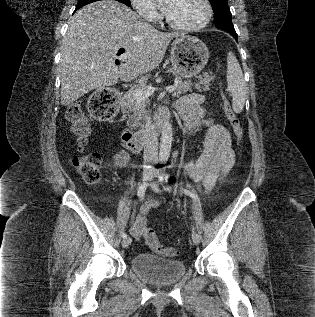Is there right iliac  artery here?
Returning <instances> with one entry per match:
<instances>
[{
	"mask_svg": "<svg viewBox=\"0 0 315 317\" xmlns=\"http://www.w3.org/2000/svg\"><path fill=\"white\" fill-rule=\"evenodd\" d=\"M146 187H147V185H146L145 183H143V184H141V185L139 186L137 195H138L140 201L144 199ZM122 237L125 239V238L127 237V234H126V233H123V234H122Z\"/></svg>",
	"mask_w": 315,
	"mask_h": 317,
	"instance_id": "82829eb1",
	"label": "right iliac artery"
}]
</instances>
